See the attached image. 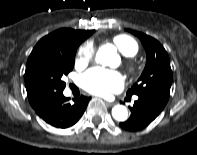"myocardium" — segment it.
<instances>
[{
    "label": "myocardium",
    "mask_w": 197,
    "mask_h": 155,
    "mask_svg": "<svg viewBox=\"0 0 197 155\" xmlns=\"http://www.w3.org/2000/svg\"><path fill=\"white\" fill-rule=\"evenodd\" d=\"M127 70L130 74H136L138 72V67L134 62L129 61L127 62Z\"/></svg>",
    "instance_id": "1"
}]
</instances>
